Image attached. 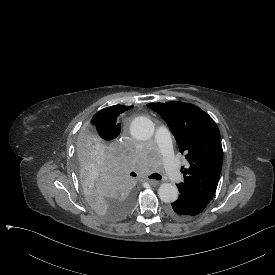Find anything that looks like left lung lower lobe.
I'll use <instances>...</instances> for the list:
<instances>
[{
    "mask_svg": "<svg viewBox=\"0 0 275 275\" xmlns=\"http://www.w3.org/2000/svg\"><path fill=\"white\" fill-rule=\"evenodd\" d=\"M178 189L180 192L178 200L167 208L168 215L174 220L186 221L200 214L210 202L191 190Z\"/></svg>",
    "mask_w": 275,
    "mask_h": 275,
    "instance_id": "1",
    "label": "left lung lower lobe"
}]
</instances>
